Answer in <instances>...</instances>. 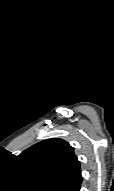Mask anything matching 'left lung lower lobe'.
<instances>
[{
	"mask_svg": "<svg viewBox=\"0 0 114 191\" xmlns=\"http://www.w3.org/2000/svg\"><path fill=\"white\" fill-rule=\"evenodd\" d=\"M82 177L80 176L71 186L69 191H80V185H81Z\"/></svg>",
	"mask_w": 114,
	"mask_h": 191,
	"instance_id": "1",
	"label": "left lung lower lobe"
}]
</instances>
